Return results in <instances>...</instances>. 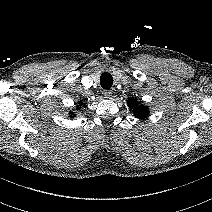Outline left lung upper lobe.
<instances>
[{
    "mask_svg": "<svg viewBox=\"0 0 212 212\" xmlns=\"http://www.w3.org/2000/svg\"><path fill=\"white\" fill-rule=\"evenodd\" d=\"M128 106L137 118L144 119L149 115L148 108L142 104H139V102L134 98L128 100Z\"/></svg>",
    "mask_w": 212,
    "mask_h": 212,
    "instance_id": "obj_1",
    "label": "left lung upper lobe"
}]
</instances>
